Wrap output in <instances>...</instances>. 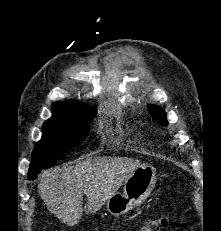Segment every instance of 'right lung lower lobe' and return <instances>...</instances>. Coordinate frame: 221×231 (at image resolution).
<instances>
[{
    "label": "right lung lower lobe",
    "instance_id": "right-lung-lower-lobe-1",
    "mask_svg": "<svg viewBox=\"0 0 221 231\" xmlns=\"http://www.w3.org/2000/svg\"><path fill=\"white\" fill-rule=\"evenodd\" d=\"M37 173L38 172L29 171L28 172V178L29 179H32V178L34 179L36 177Z\"/></svg>",
    "mask_w": 221,
    "mask_h": 231
}]
</instances>
